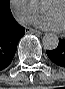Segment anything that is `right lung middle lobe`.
Segmentation results:
<instances>
[{
  "instance_id": "dd1d6c3e",
  "label": "right lung middle lobe",
  "mask_w": 65,
  "mask_h": 89,
  "mask_svg": "<svg viewBox=\"0 0 65 89\" xmlns=\"http://www.w3.org/2000/svg\"><path fill=\"white\" fill-rule=\"evenodd\" d=\"M0 8L10 12L9 0H0Z\"/></svg>"
}]
</instances>
